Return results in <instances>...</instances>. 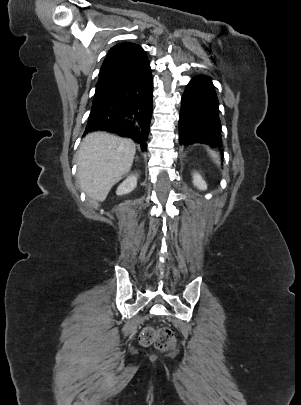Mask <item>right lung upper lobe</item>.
Segmentation results:
<instances>
[{"mask_svg": "<svg viewBox=\"0 0 301 405\" xmlns=\"http://www.w3.org/2000/svg\"><path fill=\"white\" fill-rule=\"evenodd\" d=\"M147 59L142 47L135 43H120L108 52L99 73L96 94L105 95L130 76Z\"/></svg>", "mask_w": 301, "mask_h": 405, "instance_id": "1", "label": "right lung upper lobe"}]
</instances>
